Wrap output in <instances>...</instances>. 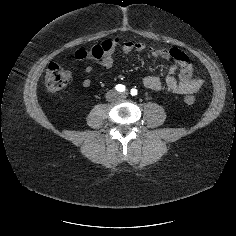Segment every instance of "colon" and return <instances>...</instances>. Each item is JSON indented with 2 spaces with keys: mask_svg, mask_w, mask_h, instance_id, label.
Listing matches in <instances>:
<instances>
[{
  "mask_svg": "<svg viewBox=\"0 0 236 236\" xmlns=\"http://www.w3.org/2000/svg\"><path fill=\"white\" fill-rule=\"evenodd\" d=\"M119 40L114 39L113 41L105 40L100 44L95 45L90 50H78L75 56L80 61L88 60H100L106 53H108ZM71 72L65 69L58 63H51L46 71L45 75V85L49 92H58L65 88L71 80ZM187 104H193L194 98L192 96H187L185 98Z\"/></svg>",
  "mask_w": 236,
  "mask_h": 236,
  "instance_id": "5ec220e1",
  "label": "colon"
}]
</instances>
